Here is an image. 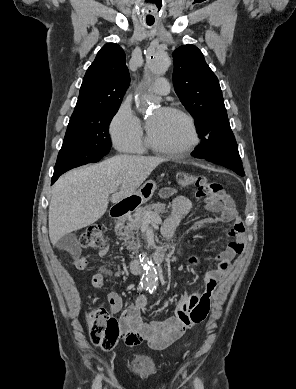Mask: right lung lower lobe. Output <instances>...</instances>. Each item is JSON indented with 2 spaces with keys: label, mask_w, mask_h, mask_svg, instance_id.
<instances>
[{
  "label": "right lung lower lobe",
  "mask_w": 296,
  "mask_h": 389,
  "mask_svg": "<svg viewBox=\"0 0 296 389\" xmlns=\"http://www.w3.org/2000/svg\"><path fill=\"white\" fill-rule=\"evenodd\" d=\"M66 171H68V170L67 169L54 170V174H53V177L51 179V182L54 183L59 178V176Z\"/></svg>",
  "instance_id": "98d812e1"
}]
</instances>
